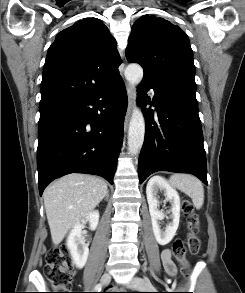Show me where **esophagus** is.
Segmentation results:
<instances>
[{
	"label": "esophagus",
	"instance_id": "34e87169",
	"mask_svg": "<svg viewBox=\"0 0 245 293\" xmlns=\"http://www.w3.org/2000/svg\"><path fill=\"white\" fill-rule=\"evenodd\" d=\"M128 107L124 121V130L126 131L129 119L132 114V109L135 104L136 94L132 85H127Z\"/></svg>",
	"mask_w": 245,
	"mask_h": 293
}]
</instances>
